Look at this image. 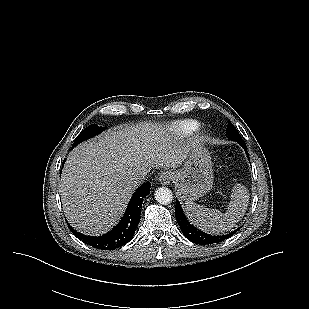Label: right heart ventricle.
<instances>
[{"label":"right heart ventricle","instance_id":"obj_1","mask_svg":"<svg viewBox=\"0 0 309 309\" xmlns=\"http://www.w3.org/2000/svg\"><path fill=\"white\" fill-rule=\"evenodd\" d=\"M174 128L181 133L190 134L199 128V123L194 120L180 121L174 124Z\"/></svg>","mask_w":309,"mask_h":309}]
</instances>
